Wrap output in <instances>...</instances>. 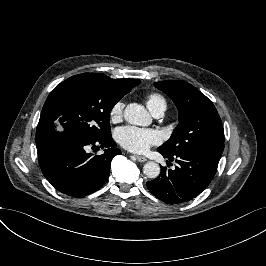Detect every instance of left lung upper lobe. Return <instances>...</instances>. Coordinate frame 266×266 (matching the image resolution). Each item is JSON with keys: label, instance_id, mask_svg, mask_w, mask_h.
I'll list each match as a JSON object with an SVG mask.
<instances>
[{"label": "left lung upper lobe", "instance_id": "5c2ea615", "mask_svg": "<svg viewBox=\"0 0 266 266\" xmlns=\"http://www.w3.org/2000/svg\"><path fill=\"white\" fill-rule=\"evenodd\" d=\"M154 86L173 100L179 116L178 126L159 149L170 155L186 150H203L221 156L224 130L212 101L182 80L155 82Z\"/></svg>", "mask_w": 266, "mask_h": 266}]
</instances>
